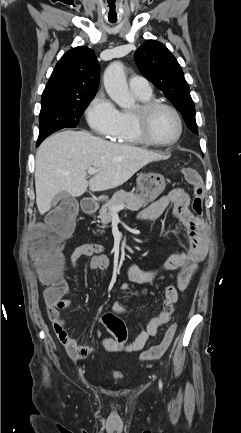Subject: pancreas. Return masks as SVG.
Masks as SVG:
<instances>
[{
	"label": "pancreas",
	"instance_id": "cf45deb5",
	"mask_svg": "<svg viewBox=\"0 0 241 433\" xmlns=\"http://www.w3.org/2000/svg\"><path fill=\"white\" fill-rule=\"evenodd\" d=\"M148 204L149 201L141 194L119 191L115 193L108 202L102 205L99 210L98 218L101 220L103 225H106L112 220L113 212L111 211V208L113 206L124 205V208L128 210L138 211L140 208L145 207Z\"/></svg>",
	"mask_w": 241,
	"mask_h": 433
}]
</instances>
